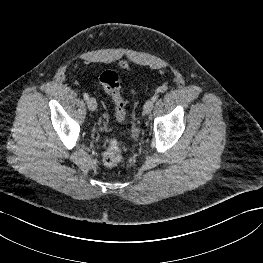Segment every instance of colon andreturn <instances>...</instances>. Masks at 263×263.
Returning a JSON list of instances; mask_svg holds the SVG:
<instances>
[{"instance_id": "5ec220e1", "label": "colon", "mask_w": 263, "mask_h": 263, "mask_svg": "<svg viewBox=\"0 0 263 263\" xmlns=\"http://www.w3.org/2000/svg\"><path fill=\"white\" fill-rule=\"evenodd\" d=\"M99 82L103 89L110 95L115 106V116L123 122L126 115V100L121 94V83L117 73L113 70H105L99 76ZM123 159V147L119 140L110 139L103 152V162L108 167H116Z\"/></svg>"}]
</instances>
